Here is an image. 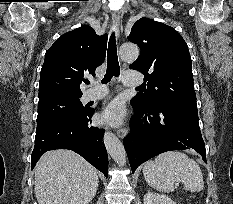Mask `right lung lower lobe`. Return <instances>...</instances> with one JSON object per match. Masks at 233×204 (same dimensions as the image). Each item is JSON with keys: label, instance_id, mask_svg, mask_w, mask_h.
<instances>
[{"label": "right lung lower lobe", "instance_id": "right-lung-lower-lobe-1", "mask_svg": "<svg viewBox=\"0 0 233 204\" xmlns=\"http://www.w3.org/2000/svg\"><path fill=\"white\" fill-rule=\"evenodd\" d=\"M93 113V109H88L72 120H64L36 132L35 146L31 155V169L46 151L69 149L80 154L107 176L108 156L102 142L104 129L91 125Z\"/></svg>", "mask_w": 233, "mask_h": 204}]
</instances>
